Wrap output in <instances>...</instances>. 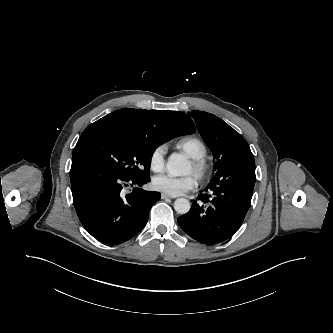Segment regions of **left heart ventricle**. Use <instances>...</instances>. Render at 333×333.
<instances>
[{"mask_svg": "<svg viewBox=\"0 0 333 333\" xmlns=\"http://www.w3.org/2000/svg\"><path fill=\"white\" fill-rule=\"evenodd\" d=\"M185 173L186 174H192L193 173V167H192L191 163L188 165V168L186 169Z\"/></svg>", "mask_w": 333, "mask_h": 333, "instance_id": "obj_1", "label": "left heart ventricle"}]
</instances>
